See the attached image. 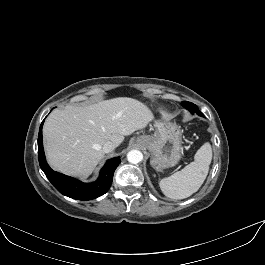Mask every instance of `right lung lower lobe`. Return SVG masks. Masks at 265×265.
<instances>
[{
    "label": "right lung lower lobe",
    "mask_w": 265,
    "mask_h": 265,
    "mask_svg": "<svg viewBox=\"0 0 265 265\" xmlns=\"http://www.w3.org/2000/svg\"><path fill=\"white\" fill-rule=\"evenodd\" d=\"M43 122L39 129L38 159L41 169L53 186L63 195L77 200H91L105 194L111 186L114 171L121 162L120 157L108 160L101 169L99 178L93 183H83L75 178L53 171L48 166L44 155L42 142Z\"/></svg>",
    "instance_id": "1"
}]
</instances>
